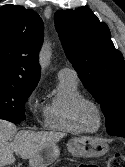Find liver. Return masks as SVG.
<instances>
[{"label": "liver", "instance_id": "liver-1", "mask_svg": "<svg viewBox=\"0 0 125 167\" xmlns=\"http://www.w3.org/2000/svg\"><path fill=\"white\" fill-rule=\"evenodd\" d=\"M64 136L61 132H17L13 123L0 119V167L15 162L14 152L22 159H30L43 148L56 144ZM12 138L14 139L11 141Z\"/></svg>", "mask_w": 125, "mask_h": 167}]
</instances>
